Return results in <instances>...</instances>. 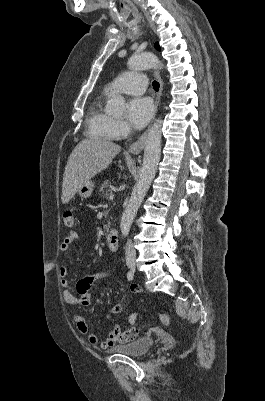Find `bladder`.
I'll return each instance as SVG.
<instances>
[{
	"instance_id": "1",
	"label": "bladder",
	"mask_w": 265,
	"mask_h": 401,
	"mask_svg": "<svg viewBox=\"0 0 265 401\" xmlns=\"http://www.w3.org/2000/svg\"><path fill=\"white\" fill-rule=\"evenodd\" d=\"M153 345V339L150 337H142L130 342L129 344L112 348L111 351H118L120 353L140 355L146 353Z\"/></svg>"
}]
</instances>
